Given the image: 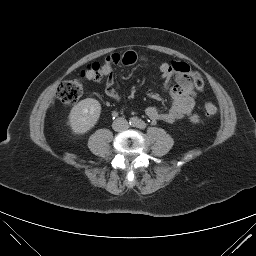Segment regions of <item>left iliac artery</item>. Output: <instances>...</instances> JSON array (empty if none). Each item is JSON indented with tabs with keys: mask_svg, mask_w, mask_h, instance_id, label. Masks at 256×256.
<instances>
[{
	"mask_svg": "<svg viewBox=\"0 0 256 256\" xmlns=\"http://www.w3.org/2000/svg\"><path fill=\"white\" fill-rule=\"evenodd\" d=\"M137 127L140 129H145L146 128V123L144 121L139 120L137 123Z\"/></svg>",
	"mask_w": 256,
	"mask_h": 256,
	"instance_id": "left-iliac-artery-1",
	"label": "left iliac artery"
}]
</instances>
